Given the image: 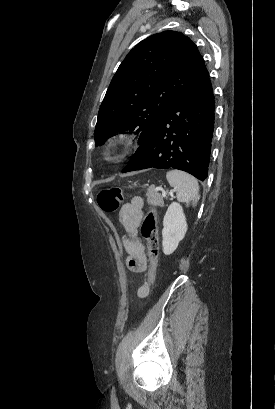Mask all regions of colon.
I'll return each mask as SVG.
<instances>
[{
  "label": "colon",
  "instance_id": "1",
  "mask_svg": "<svg viewBox=\"0 0 275 409\" xmlns=\"http://www.w3.org/2000/svg\"><path fill=\"white\" fill-rule=\"evenodd\" d=\"M97 202L106 216L119 210L123 204V194L119 188L102 189L97 195ZM157 209L152 207L143 218L140 226V234L147 243V256L149 267L147 271L146 289L143 298L148 299L151 295L155 282V275L159 259V237L157 233Z\"/></svg>",
  "mask_w": 275,
  "mask_h": 409
}]
</instances>
